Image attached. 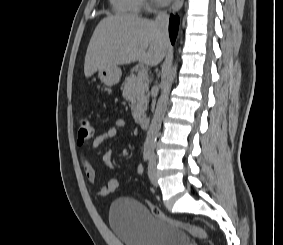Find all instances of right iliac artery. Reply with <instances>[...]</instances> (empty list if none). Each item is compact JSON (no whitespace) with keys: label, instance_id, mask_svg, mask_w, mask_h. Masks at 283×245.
Masks as SVG:
<instances>
[{"label":"right iliac artery","instance_id":"1","mask_svg":"<svg viewBox=\"0 0 283 245\" xmlns=\"http://www.w3.org/2000/svg\"><path fill=\"white\" fill-rule=\"evenodd\" d=\"M150 154H151L150 150H144V152H143V159H144V161H148L149 160Z\"/></svg>","mask_w":283,"mask_h":245}]
</instances>
